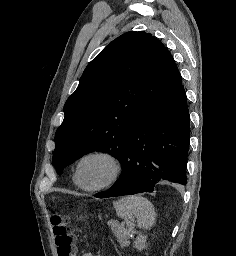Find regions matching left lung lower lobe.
Listing matches in <instances>:
<instances>
[{
	"instance_id": "1",
	"label": "left lung lower lobe",
	"mask_w": 236,
	"mask_h": 256,
	"mask_svg": "<svg viewBox=\"0 0 236 256\" xmlns=\"http://www.w3.org/2000/svg\"><path fill=\"white\" fill-rule=\"evenodd\" d=\"M189 134V112L181 82L138 120L120 162V178L109 190L94 196L152 192L161 180L186 185Z\"/></svg>"
}]
</instances>
